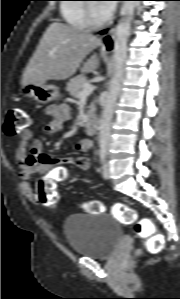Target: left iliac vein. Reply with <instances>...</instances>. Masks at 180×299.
Segmentation results:
<instances>
[{"mask_svg": "<svg viewBox=\"0 0 180 299\" xmlns=\"http://www.w3.org/2000/svg\"><path fill=\"white\" fill-rule=\"evenodd\" d=\"M110 175V164L109 162H106L103 166V177L108 180L110 179Z\"/></svg>", "mask_w": 180, "mask_h": 299, "instance_id": "obj_1", "label": "left iliac vein"}]
</instances>
